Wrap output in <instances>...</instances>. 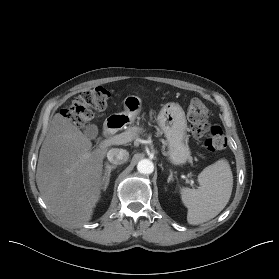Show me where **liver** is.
<instances>
[{"label": "liver", "mask_w": 279, "mask_h": 279, "mask_svg": "<svg viewBox=\"0 0 279 279\" xmlns=\"http://www.w3.org/2000/svg\"><path fill=\"white\" fill-rule=\"evenodd\" d=\"M107 148L92 150L89 137L60 113L41 146L36 182L52 212L69 227L91 220L101 196Z\"/></svg>", "instance_id": "6515ba94"}]
</instances>
